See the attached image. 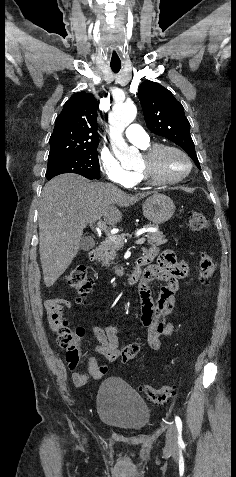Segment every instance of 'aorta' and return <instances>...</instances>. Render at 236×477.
<instances>
[{
    "label": "aorta",
    "mask_w": 236,
    "mask_h": 477,
    "mask_svg": "<svg viewBox=\"0 0 236 477\" xmlns=\"http://www.w3.org/2000/svg\"><path fill=\"white\" fill-rule=\"evenodd\" d=\"M137 108L133 103L116 105L110 115V137L113 151L116 157L125 163L138 156L135 147L128 146L122 137L125 128L135 119Z\"/></svg>",
    "instance_id": "aorta-1"
}]
</instances>
